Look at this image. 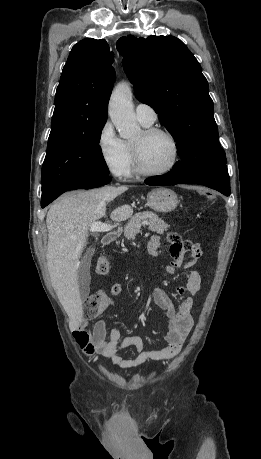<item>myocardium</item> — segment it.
I'll use <instances>...</instances> for the list:
<instances>
[{"mask_svg": "<svg viewBox=\"0 0 261 459\" xmlns=\"http://www.w3.org/2000/svg\"><path fill=\"white\" fill-rule=\"evenodd\" d=\"M142 133L145 137L153 136L155 134H161V135L166 136L171 142L172 149H173V155H172L171 162L164 169L150 170L146 168L142 162L139 146L135 143H132V153H133V159H134V165H135L136 171L139 174L144 175V176H161V175H165L169 173L170 171H172L174 167L176 166L178 159H179V144H178L176 137L169 130L161 128V127H154V126L146 127L142 131Z\"/></svg>", "mask_w": 261, "mask_h": 459, "instance_id": "f54148a6", "label": "myocardium"}]
</instances>
